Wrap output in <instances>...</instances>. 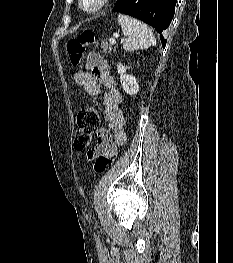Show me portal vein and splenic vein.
<instances>
[{"mask_svg": "<svg viewBox=\"0 0 233 263\" xmlns=\"http://www.w3.org/2000/svg\"><path fill=\"white\" fill-rule=\"evenodd\" d=\"M110 43H111V45H115L116 44L115 39L114 38H110Z\"/></svg>", "mask_w": 233, "mask_h": 263, "instance_id": "obj_1", "label": "portal vein and splenic vein"}]
</instances>
